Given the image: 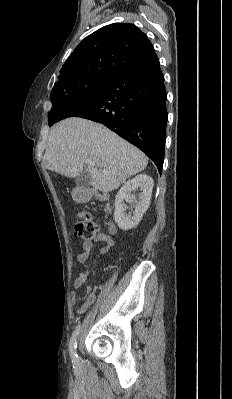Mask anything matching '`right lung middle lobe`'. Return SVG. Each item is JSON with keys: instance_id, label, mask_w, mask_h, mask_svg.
Wrapping results in <instances>:
<instances>
[{"instance_id": "1", "label": "right lung middle lobe", "mask_w": 232, "mask_h": 399, "mask_svg": "<svg viewBox=\"0 0 232 399\" xmlns=\"http://www.w3.org/2000/svg\"><path fill=\"white\" fill-rule=\"evenodd\" d=\"M108 80V78L80 79L68 86L64 92L50 95L52 109L48 113L49 126L55 123L56 118L69 104L78 103L93 96L107 84Z\"/></svg>"}]
</instances>
